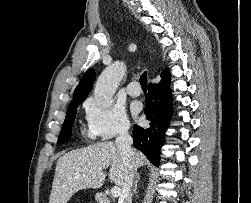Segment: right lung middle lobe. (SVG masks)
I'll return each instance as SVG.
<instances>
[{
  "label": "right lung middle lobe",
  "instance_id": "right-lung-middle-lobe-1",
  "mask_svg": "<svg viewBox=\"0 0 251 203\" xmlns=\"http://www.w3.org/2000/svg\"><path fill=\"white\" fill-rule=\"evenodd\" d=\"M80 103L81 102H76L69 105L67 115H66L65 121L63 123L62 129H61L58 141H57L58 143H64L70 139L71 127L75 120L77 106Z\"/></svg>",
  "mask_w": 251,
  "mask_h": 203
}]
</instances>
